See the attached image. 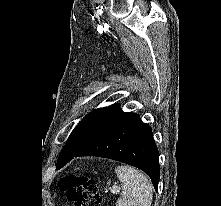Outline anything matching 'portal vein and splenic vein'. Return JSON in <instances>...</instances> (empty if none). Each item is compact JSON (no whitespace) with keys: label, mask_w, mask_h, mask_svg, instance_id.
<instances>
[{"label":"portal vein and splenic vein","mask_w":221,"mask_h":206,"mask_svg":"<svg viewBox=\"0 0 221 206\" xmlns=\"http://www.w3.org/2000/svg\"><path fill=\"white\" fill-rule=\"evenodd\" d=\"M114 193H119L120 192V188L118 186H113V189L111 190Z\"/></svg>","instance_id":"obj_1"}]
</instances>
